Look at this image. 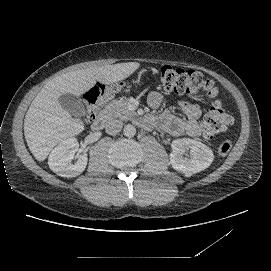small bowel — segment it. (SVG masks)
I'll return each instance as SVG.
<instances>
[{
	"label": "small bowel",
	"instance_id": "small-bowel-1",
	"mask_svg": "<svg viewBox=\"0 0 271 271\" xmlns=\"http://www.w3.org/2000/svg\"><path fill=\"white\" fill-rule=\"evenodd\" d=\"M147 101L150 107L156 109L161 106L163 96L158 92H152L148 95ZM178 107L183 117H177L171 111L165 110L159 117L160 127L173 136H199L201 134L199 125L202 115L201 107L187 100L180 101Z\"/></svg>",
	"mask_w": 271,
	"mask_h": 271
}]
</instances>
